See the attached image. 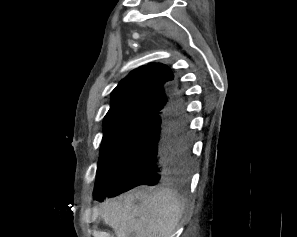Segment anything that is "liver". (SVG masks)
<instances>
[{"instance_id": "liver-1", "label": "liver", "mask_w": 297, "mask_h": 237, "mask_svg": "<svg viewBox=\"0 0 297 237\" xmlns=\"http://www.w3.org/2000/svg\"><path fill=\"white\" fill-rule=\"evenodd\" d=\"M184 209L185 200L168 188L134 189L100 204L116 237H171Z\"/></svg>"}]
</instances>
